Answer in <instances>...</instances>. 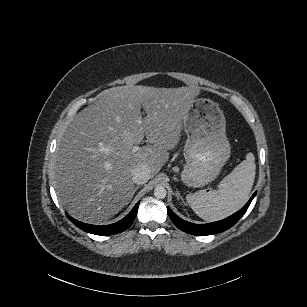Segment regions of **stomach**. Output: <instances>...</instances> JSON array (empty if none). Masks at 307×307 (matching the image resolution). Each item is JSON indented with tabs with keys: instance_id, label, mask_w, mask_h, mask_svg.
Returning a JSON list of instances; mask_svg holds the SVG:
<instances>
[{
	"instance_id": "obj_1",
	"label": "stomach",
	"mask_w": 307,
	"mask_h": 307,
	"mask_svg": "<svg viewBox=\"0 0 307 307\" xmlns=\"http://www.w3.org/2000/svg\"><path fill=\"white\" fill-rule=\"evenodd\" d=\"M225 125L224 114L216 102L208 98L193 99L183 117L188 139L184 148L187 165L182 179L187 185H206L229 158Z\"/></svg>"
}]
</instances>
